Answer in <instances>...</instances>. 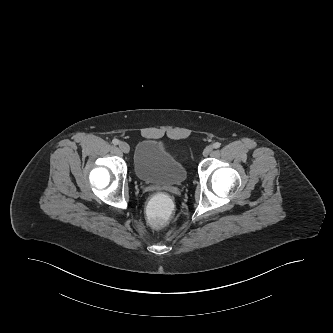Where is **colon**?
I'll return each instance as SVG.
<instances>
[{
  "mask_svg": "<svg viewBox=\"0 0 333 333\" xmlns=\"http://www.w3.org/2000/svg\"><path fill=\"white\" fill-rule=\"evenodd\" d=\"M175 208V199L164 192L156 193L147 206L149 224L157 229L165 227L170 221V212Z\"/></svg>",
  "mask_w": 333,
  "mask_h": 333,
  "instance_id": "colon-1",
  "label": "colon"
}]
</instances>
